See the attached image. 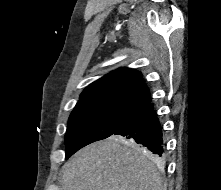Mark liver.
I'll list each match as a JSON object with an SVG mask.
<instances>
[{"label": "liver", "mask_w": 221, "mask_h": 190, "mask_svg": "<svg viewBox=\"0 0 221 190\" xmlns=\"http://www.w3.org/2000/svg\"><path fill=\"white\" fill-rule=\"evenodd\" d=\"M158 159L119 136L88 145L62 167L63 190H166Z\"/></svg>", "instance_id": "liver-1"}]
</instances>
